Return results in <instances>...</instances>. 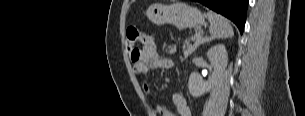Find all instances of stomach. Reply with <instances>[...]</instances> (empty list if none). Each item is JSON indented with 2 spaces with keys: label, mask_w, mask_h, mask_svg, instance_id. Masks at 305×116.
<instances>
[{
  "label": "stomach",
  "mask_w": 305,
  "mask_h": 116,
  "mask_svg": "<svg viewBox=\"0 0 305 116\" xmlns=\"http://www.w3.org/2000/svg\"><path fill=\"white\" fill-rule=\"evenodd\" d=\"M146 15L156 25L172 24L180 29L205 23L204 15L198 9L182 2L171 5L153 4L148 8Z\"/></svg>",
  "instance_id": "0dacf381"
}]
</instances>
